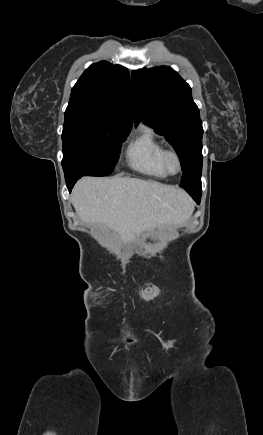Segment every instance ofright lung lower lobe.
Wrapping results in <instances>:
<instances>
[{
  "instance_id": "98d812e1",
  "label": "right lung lower lobe",
  "mask_w": 263,
  "mask_h": 435,
  "mask_svg": "<svg viewBox=\"0 0 263 435\" xmlns=\"http://www.w3.org/2000/svg\"><path fill=\"white\" fill-rule=\"evenodd\" d=\"M82 176H77V177H73L70 179H66V184H67V188L69 190V192H71L74 184L77 182L78 179H80Z\"/></svg>"
}]
</instances>
